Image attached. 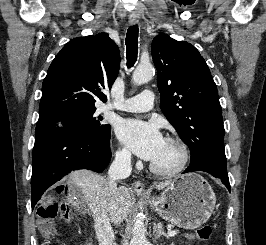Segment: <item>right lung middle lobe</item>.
Wrapping results in <instances>:
<instances>
[{"label":"right lung middle lobe","mask_w":266,"mask_h":245,"mask_svg":"<svg viewBox=\"0 0 266 245\" xmlns=\"http://www.w3.org/2000/svg\"><path fill=\"white\" fill-rule=\"evenodd\" d=\"M96 108L75 110L63 113L51 119L38 121L35 137L64 127L79 132L99 142L110 138L111 126L100 124V119L94 116Z\"/></svg>","instance_id":"obj_1"}]
</instances>
